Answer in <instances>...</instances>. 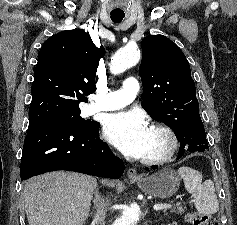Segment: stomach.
<instances>
[{
  "instance_id": "0dacf381",
  "label": "stomach",
  "mask_w": 237,
  "mask_h": 225,
  "mask_svg": "<svg viewBox=\"0 0 237 225\" xmlns=\"http://www.w3.org/2000/svg\"><path fill=\"white\" fill-rule=\"evenodd\" d=\"M181 178L171 168H164L150 176L134 179L146 194L165 199L173 196L180 186Z\"/></svg>"
}]
</instances>
